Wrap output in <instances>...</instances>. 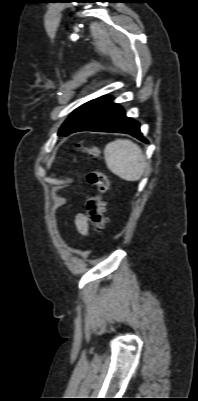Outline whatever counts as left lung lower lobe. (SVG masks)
I'll list each match as a JSON object with an SVG mask.
<instances>
[{"mask_svg":"<svg viewBox=\"0 0 198 401\" xmlns=\"http://www.w3.org/2000/svg\"><path fill=\"white\" fill-rule=\"evenodd\" d=\"M86 130L127 133L147 143L140 132L139 123L126 117L120 106L104 96L93 100L65 135Z\"/></svg>","mask_w":198,"mask_h":401,"instance_id":"obj_1","label":"left lung lower lobe"}]
</instances>
